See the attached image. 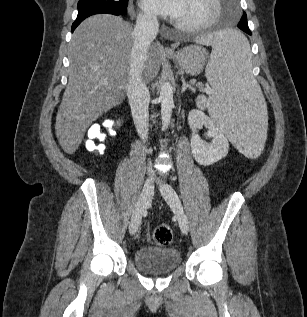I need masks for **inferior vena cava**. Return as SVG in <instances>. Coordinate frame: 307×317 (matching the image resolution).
Wrapping results in <instances>:
<instances>
[{
	"mask_svg": "<svg viewBox=\"0 0 307 317\" xmlns=\"http://www.w3.org/2000/svg\"><path fill=\"white\" fill-rule=\"evenodd\" d=\"M159 23L153 15L137 17L133 31L134 42L130 54L129 78L126 86L133 121L140 138H148L150 94L142 80V73L148 49L158 33ZM148 171L152 173L151 162Z\"/></svg>",
	"mask_w": 307,
	"mask_h": 317,
	"instance_id": "1",
	"label": "inferior vena cava"
}]
</instances>
